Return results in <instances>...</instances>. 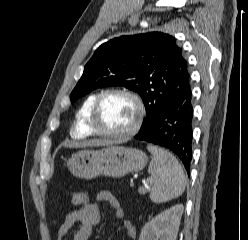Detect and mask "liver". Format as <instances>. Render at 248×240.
Masks as SVG:
<instances>
[{"mask_svg":"<svg viewBox=\"0 0 248 240\" xmlns=\"http://www.w3.org/2000/svg\"><path fill=\"white\" fill-rule=\"evenodd\" d=\"M108 141H102V140H91L88 142H85L83 144H80L82 146H103V145H108ZM73 146H79V144L73 145Z\"/></svg>","mask_w":248,"mask_h":240,"instance_id":"6515ba94","label":"liver"}]
</instances>
